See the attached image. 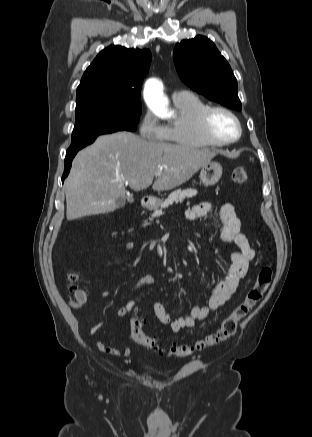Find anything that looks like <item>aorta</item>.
I'll list each match as a JSON object with an SVG mask.
<instances>
[{
	"instance_id": "1",
	"label": "aorta",
	"mask_w": 312,
	"mask_h": 437,
	"mask_svg": "<svg viewBox=\"0 0 312 437\" xmlns=\"http://www.w3.org/2000/svg\"><path fill=\"white\" fill-rule=\"evenodd\" d=\"M144 98L148 107L152 112L161 118H167L169 116L168 112V101L163 94V86L156 79H150L145 84Z\"/></svg>"
}]
</instances>
